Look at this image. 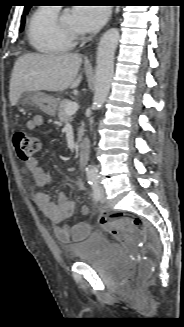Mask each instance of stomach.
<instances>
[{
    "label": "stomach",
    "instance_id": "stomach-1",
    "mask_svg": "<svg viewBox=\"0 0 184 327\" xmlns=\"http://www.w3.org/2000/svg\"><path fill=\"white\" fill-rule=\"evenodd\" d=\"M20 103L22 105H36L43 113L49 116L56 115L58 106L56 98L43 92H26L21 95Z\"/></svg>",
    "mask_w": 184,
    "mask_h": 327
}]
</instances>
